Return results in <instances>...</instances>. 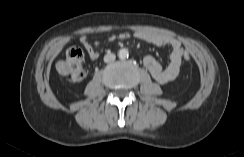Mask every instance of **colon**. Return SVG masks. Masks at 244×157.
Returning <instances> with one entry per match:
<instances>
[{"label":"colon","mask_w":244,"mask_h":157,"mask_svg":"<svg viewBox=\"0 0 244 157\" xmlns=\"http://www.w3.org/2000/svg\"><path fill=\"white\" fill-rule=\"evenodd\" d=\"M182 58L188 62L190 54L184 51ZM58 73L71 80L72 82H80L85 78L84 55L79 47L73 46L66 52L65 57L60 59L56 64Z\"/></svg>","instance_id":"1"}]
</instances>
